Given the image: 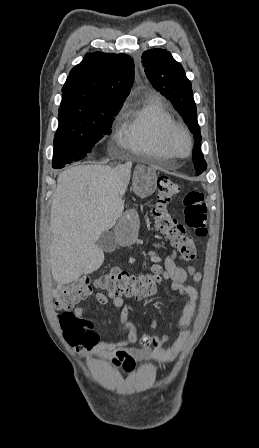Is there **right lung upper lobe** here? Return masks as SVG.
Returning a JSON list of instances; mask_svg holds the SVG:
<instances>
[{"instance_id": "right-lung-upper-lobe-1", "label": "right lung upper lobe", "mask_w": 259, "mask_h": 448, "mask_svg": "<svg viewBox=\"0 0 259 448\" xmlns=\"http://www.w3.org/2000/svg\"><path fill=\"white\" fill-rule=\"evenodd\" d=\"M134 62L126 54H86L62 88L59 114L121 108L134 81Z\"/></svg>"}]
</instances>
